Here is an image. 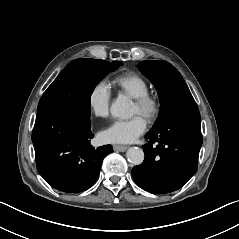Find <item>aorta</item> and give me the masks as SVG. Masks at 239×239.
<instances>
[{
	"label": "aorta",
	"instance_id": "1",
	"mask_svg": "<svg viewBox=\"0 0 239 239\" xmlns=\"http://www.w3.org/2000/svg\"><path fill=\"white\" fill-rule=\"evenodd\" d=\"M110 113L113 117L125 120L134 115V103L125 95L118 96L110 106ZM126 156L134 165H140L144 161V152L139 148L128 149Z\"/></svg>",
	"mask_w": 239,
	"mask_h": 239
}]
</instances>
